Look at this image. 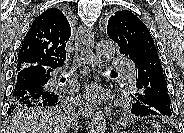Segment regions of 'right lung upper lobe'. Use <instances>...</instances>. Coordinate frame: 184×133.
Instances as JSON below:
<instances>
[{
  "instance_id": "1",
  "label": "right lung upper lobe",
  "mask_w": 184,
  "mask_h": 133,
  "mask_svg": "<svg viewBox=\"0 0 184 133\" xmlns=\"http://www.w3.org/2000/svg\"><path fill=\"white\" fill-rule=\"evenodd\" d=\"M70 36V20L63 8L44 11L34 20L22 42L16 72L31 65L51 67L64 63Z\"/></svg>"
}]
</instances>
